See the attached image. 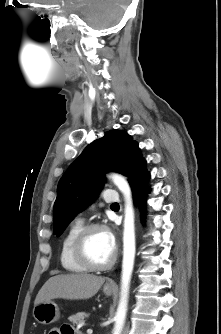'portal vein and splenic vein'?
Here are the masks:
<instances>
[{"mask_svg":"<svg viewBox=\"0 0 221 334\" xmlns=\"http://www.w3.org/2000/svg\"><path fill=\"white\" fill-rule=\"evenodd\" d=\"M87 333H88V334H92V333H93V330H92V329H87Z\"/></svg>","mask_w":221,"mask_h":334,"instance_id":"obj_1","label":"portal vein and splenic vein"}]
</instances>
